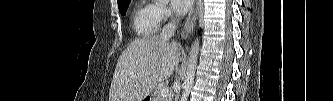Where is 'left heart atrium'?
<instances>
[{
  "mask_svg": "<svg viewBox=\"0 0 333 101\" xmlns=\"http://www.w3.org/2000/svg\"><path fill=\"white\" fill-rule=\"evenodd\" d=\"M190 4V0H171V5L178 14H184L188 11Z\"/></svg>",
  "mask_w": 333,
  "mask_h": 101,
  "instance_id": "left-heart-atrium-1",
  "label": "left heart atrium"
}]
</instances>
